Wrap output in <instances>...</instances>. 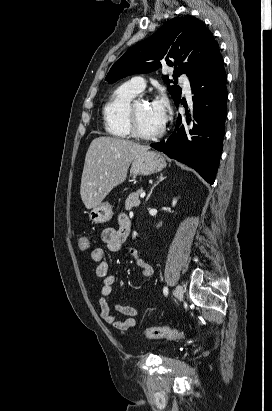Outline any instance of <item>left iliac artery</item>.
<instances>
[{
    "instance_id": "left-iliac-artery-1",
    "label": "left iliac artery",
    "mask_w": 272,
    "mask_h": 411,
    "mask_svg": "<svg viewBox=\"0 0 272 411\" xmlns=\"http://www.w3.org/2000/svg\"><path fill=\"white\" fill-rule=\"evenodd\" d=\"M163 293H164V295H165V296H167V295H168V288H167V287H164V289H163Z\"/></svg>"
}]
</instances>
